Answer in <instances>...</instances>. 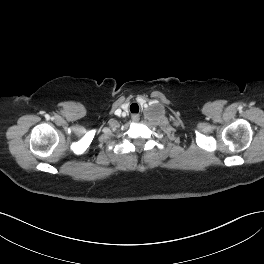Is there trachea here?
Listing matches in <instances>:
<instances>
[{"label":"trachea","instance_id":"3493384b","mask_svg":"<svg viewBox=\"0 0 264 264\" xmlns=\"http://www.w3.org/2000/svg\"><path fill=\"white\" fill-rule=\"evenodd\" d=\"M130 111L132 113H138L139 112V106H138V104H136V103L131 104Z\"/></svg>","mask_w":264,"mask_h":264}]
</instances>
